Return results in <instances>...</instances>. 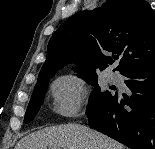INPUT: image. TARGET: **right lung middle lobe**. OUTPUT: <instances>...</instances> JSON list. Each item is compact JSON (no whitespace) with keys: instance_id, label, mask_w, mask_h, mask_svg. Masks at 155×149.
I'll return each mask as SVG.
<instances>
[{"instance_id":"right-lung-middle-lobe-1","label":"right lung middle lobe","mask_w":155,"mask_h":149,"mask_svg":"<svg viewBox=\"0 0 155 149\" xmlns=\"http://www.w3.org/2000/svg\"><path fill=\"white\" fill-rule=\"evenodd\" d=\"M77 76L83 78L89 84H93L95 89L92 91L86 114L89 115L93 111H96L100 107L106 105L115 95L110 91L102 92L97 86V73L96 71H81L77 72ZM52 77V76H51ZM44 78L37 82L33 91L31 100L26 110L24 122L29 123L32 121L36 113L40 109V105L43 103V98L48 87V80L51 78Z\"/></svg>"}]
</instances>
